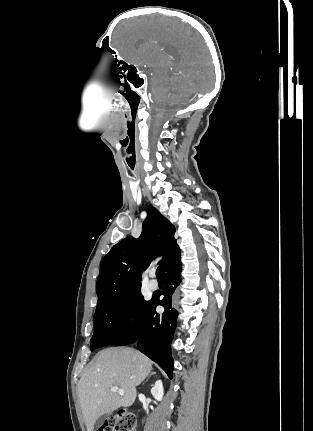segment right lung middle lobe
Instances as JSON below:
<instances>
[{"label":"right lung middle lobe","instance_id":"right-lung-middle-lobe-1","mask_svg":"<svg viewBox=\"0 0 313 431\" xmlns=\"http://www.w3.org/2000/svg\"><path fill=\"white\" fill-rule=\"evenodd\" d=\"M148 303L149 301L144 300L140 288L99 302L93 320L91 351L114 344L127 334L137 325Z\"/></svg>","mask_w":313,"mask_h":431}]
</instances>
